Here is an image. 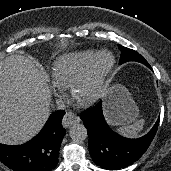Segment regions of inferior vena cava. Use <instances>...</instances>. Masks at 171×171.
<instances>
[{
	"label": "inferior vena cava",
	"mask_w": 171,
	"mask_h": 171,
	"mask_svg": "<svg viewBox=\"0 0 171 171\" xmlns=\"http://www.w3.org/2000/svg\"><path fill=\"white\" fill-rule=\"evenodd\" d=\"M56 108L58 110L65 108V102L62 99H56Z\"/></svg>",
	"instance_id": "obj_1"
}]
</instances>
